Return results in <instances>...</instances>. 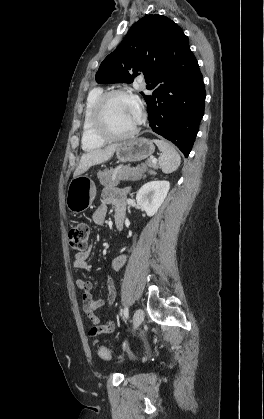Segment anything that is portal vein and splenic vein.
<instances>
[{"label":"portal vein and splenic vein","mask_w":264,"mask_h":419,"mask_svg":"<svg viewBox=\"0 0 264 419\" xmlns=\"http://www.w3.org/2000/svg\"><path fill=\"white\" fill-rule=\"evenodd\" d=\"M152 162H153V163H156V162H157V160H156V159H153V160H152Z\"/></svg>","instance_id":"1"}]
</instances>
